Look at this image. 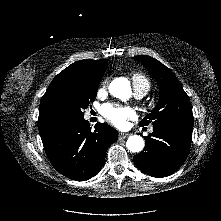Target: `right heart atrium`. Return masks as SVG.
I'll return each mask as SVG.
<instances>
[{"label":"right heart atrium","mask_w":221,"mask_h":221,"mask_svg":"<svg viewBox=\"0 0 221 221\" xmlns=\"http://www.w3.org/2000/svg\"><path fill=\"white\" fill-rule=\"evenodd\" d=\"M108 85V79H104L102 82H101V85H100V89L103 90L107 87Z\"/></svg>","instance_id":"1"}]
</instances>
